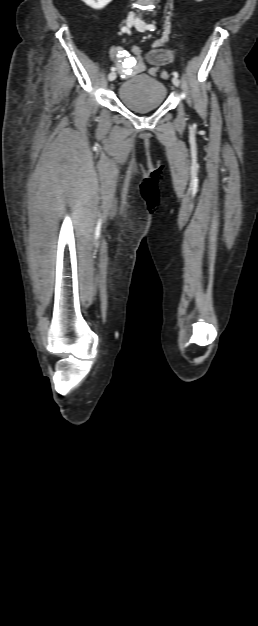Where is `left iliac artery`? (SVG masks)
I'll list each match as a JSON object with an SVG mask.
<instances>
[{"label":"left iliac artery","mask_w":258,"mask_h":626,"mask_svg":"<svg viewBox=\"0 0 258 626\" xmlns=\"http://www.w3.org/2000/svg\"><path fill=\"white\" fill-rule=\"evenodd\" d=\"M146 28H147L148 30H150V31H154V30L156 29V26H155L154 24H148V25H146ZM173 75H174L175 77H178V76H179L178 72H173Z\"/></svg>","instance_id":"obj_1"}]
</instances>
